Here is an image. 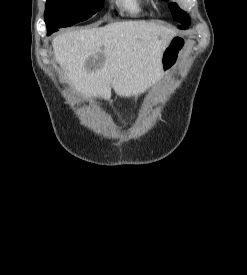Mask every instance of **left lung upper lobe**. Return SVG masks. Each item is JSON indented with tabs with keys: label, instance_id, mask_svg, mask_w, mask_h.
<instances>
[{
	"label": "left lung upper lobe",
	"instance_id": "left-lung-upper-lobe-1",
	"mask_svg": "<svg viewBox=\"0 0 247 275\" xmlns=\"http://www.w3.org/2000/svg\"><path fill=\"white\" fill-rule=\"evenodd\" d=\"M169 7L171 9V13L175 21H178L181 23V27L179 28L186 29L187 26L190 24V20L185 14V12L182 11L175 3H170Z\"/></svg>",
	"mask_w": 247,
	"mask_h": 275
}]
</instances>
